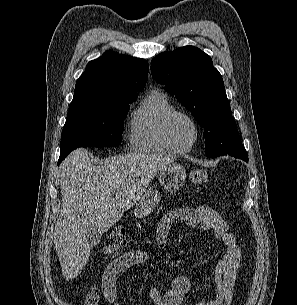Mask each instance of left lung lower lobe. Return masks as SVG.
<instances>
[{"instance_id":"0a47b994","label":"left lung lower lobe","mask_w":297,"mask_h":305,"mask_svg":"<svg viewBox=\"0 0 297 305\" xmlns=\"http://www.w3.org/2000/svg\"><path fill=\"white\" fill-rule=\"evenodd\" d=\"M240 157H241V159H243L244 161L248 162V157H247V155H241Z\"/></svg>"}]
</instances>
